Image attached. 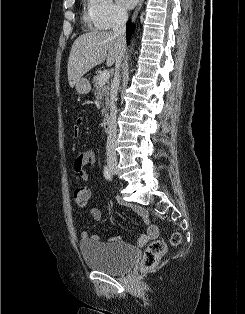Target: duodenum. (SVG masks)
<instances>
[{"instance_id": "obj_1", "label": "duodenum", "mask_w": 245, "mask_h": 314, "mask_svg": "<svg viewBox=\"0 0 245 314\" xmlns=\"http://www.w3.org/2000/svg\"><path fill=\"white\" fill-rule=\"evenodd\" d=\"M102 126H103V129L107 132L110 131L111 129V116L110 115H105V117L103 118V121H102Z\"/></svg>"}]
</instances>
